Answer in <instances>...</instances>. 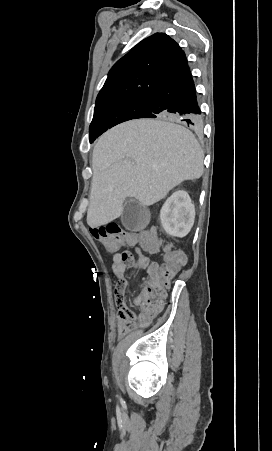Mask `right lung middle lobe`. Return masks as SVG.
Masks as SVG:
<instances>
[{
    "mask_svg": "<svg viewBox=\"0 0 272 451\" xmlns=\"http://www.w3.org/2000/svg\"><path fill=\"white\" fill-rule=\"evenodd\" d=\"M150 96L126 97L95 106L94 117L89 127L90 143L109 128L135 119L148 106Z\"/></svg>",
    "mask_w": 272,
    "mask_h": 451,
    "instance_id": "right-lung-middle-lobe-1",
    "label": "right lung middle lobe"
}]
</instances>
